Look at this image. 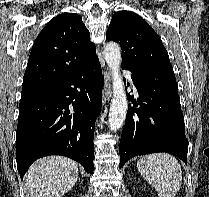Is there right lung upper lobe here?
Returning <instances> with one entry per match:
<instances>
[{
    "label": "right lung upper lobe",
    "instance_id": "cb5924a9",
    "mask_svg": "<svg viewBox=\"0 0 209 197\" xmlns=\"http://www.w3.org/2000/svg\"><path fill=\"white\" fill-rule=\"evenodd\" d=\"M98 58L82 18L62 13L39 33L23 77L22 93L50 86Z\"/></svg>",
    "mask_w": 209,
    "mask_h": 197
}]
</instances>
